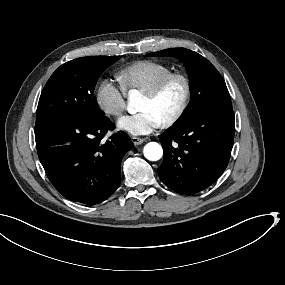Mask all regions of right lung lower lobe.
<instances>
[{"instance_id": "98d812e1", "label": "right lung lower lobe", "mask_w": 285, "mask_h": 285, "mask_svg": "<svg viewBox=\"0 0 285 285\" xmlns=\"http://www.w3.org/2000/svg\"><path fill=\"white\" fill-rule=\"evenodd\" d=\"M109 118L84 120L58 115L36 123L35 140L40 162L57 191L70 201L89 206L103 202L118 188L121 160L134 145Z\"/></svg>"}]
</instances>
